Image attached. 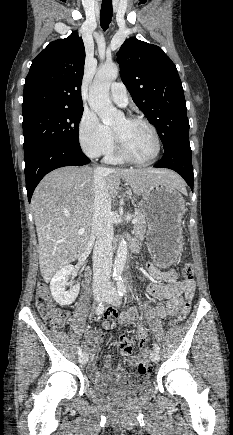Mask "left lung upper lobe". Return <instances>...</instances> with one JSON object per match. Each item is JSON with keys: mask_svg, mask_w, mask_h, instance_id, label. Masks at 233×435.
I'll return each instance as SVG.
<instances>
[{"mask_svg": "<svg viewBox=\"0 0 233 435\" xmlns=\"http://www.w3.org/2000/svg\"><path fill=\"white\" fill-rule=\"evenodd\" d=\"M120 75L135 104L156 127L164 150L189 139L182 83L164 51L134 37L117 53Z\"/></svg>", "mask_w": 233, "mask_h": 435, "instance_id": "obj_1", "label": "left lung upper lobe"}]
</instances>
